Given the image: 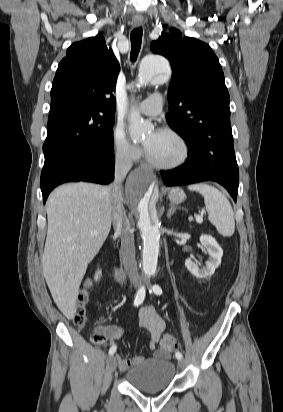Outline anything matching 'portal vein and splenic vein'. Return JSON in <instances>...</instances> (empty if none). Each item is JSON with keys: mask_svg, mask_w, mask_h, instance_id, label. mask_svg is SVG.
Listing matches in <instances>:
<instances>
[{"mask_svg": "<svg viewBox=\"0 0 283 412\" xmlns=\"http://www.w3.org/2000/svg\"><path fill=\"white\" fill-rule=\"evenodd\" d=\"M195 219H196L197 223H202L203 222V218L199 215L195 216Z\"/></svg>", "mask_w": 283, "mask_h": 412, "instance_id": "obj_1", "label": "portal vein and splenic vein"}]
</instances>
